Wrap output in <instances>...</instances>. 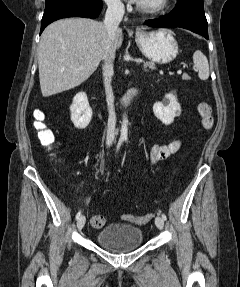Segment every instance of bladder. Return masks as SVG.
<instances>
[{
	"label": "bladder",
	"instance_id": "obj_1",
	"mask_svg": "<svg viewBox=\"0 0 240 287\" xmlns=\"http://www.w3.org/2000/svg\"><path fill=\"white\" fill-rule=\"evenodd\" d=\"M96 242L113 252L122 253L141 246L143 241L142 229L127 224H109L96 235Z\"/></svg>",
	"mask_w": 240,
	"mask_h": 287
}]
</instances>
